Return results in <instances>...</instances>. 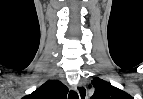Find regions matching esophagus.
Returning <instances> with one entry per match:
<instances>
[{
	"mask_svg": "<svg viewBox=\"0 0 143 99\" xmlns=\"http://www.w3.org/2000/svg\"><path fill=\"white\" fill-rule=\"evenodd\" d=\"M77 93H78L79 99H86L87 98V90L83 84H78Z\"/></svg>",
	"mask_w": 143,
	"mask_h": 99,
	"instance_id": "obj_1",
	"label": "esophagus"
}]
</instances>
